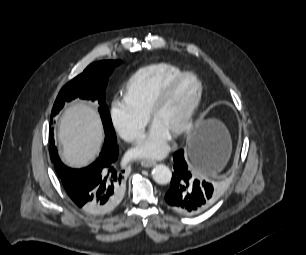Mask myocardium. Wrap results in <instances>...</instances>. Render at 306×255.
I'll list each match as a JSON object with an SVG mask.
<instances>
[{
  "label": "myocardium",
  "mask_w": 306,
  "mask_h": 255,
  "mask_svg": "<svg viewBox=\"0 0 306 255\" xmlns=\"http://www.w3.org/2000/svg\"><path fill=\"white\" fill-rule=\"evenodd\" d=\"M192 78L196 81L198 85V92L197 95L191 104L186 116L184 117L183 121L181 124L175 128L172 132L174 136H179L186 132L192 125L194 118L200 108L202 99H203V93H204V88H203V83L200 80V78L192 73V72H184L180 76L176 77L173 79L160 93L159 95L155 98L153 103L151 104L149 110H148V119L150 122L154 121V118L158 111L163 107V105L167 102V100L170 98V96L173 94V92L177 89V87L184 82L186 79Z\"/></svg>",
  "instance_id": "obj_1"
}]
</instances>
